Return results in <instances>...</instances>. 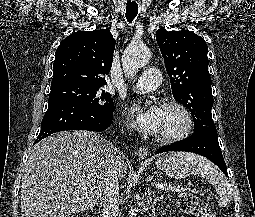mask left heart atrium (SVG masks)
<instances>
[{
    "label": "left heart atrium",
    "mask_w": 255,
    "mask_h": 217,
    "mask_svg": "<svg viewBox=\"0 0 255 217\" xmlns=\"http://www.w3.org/2000/svg\"><path fill=\"white\" fill-rule=\"evenodd\" d=\"M128 112L141 132L149 135L159 133L163 118V107L158 104L144 106L136 103L129 108Z\"/></svg>",
    "instance_id": "left-heart-atrium-1"
}]
</instances>
